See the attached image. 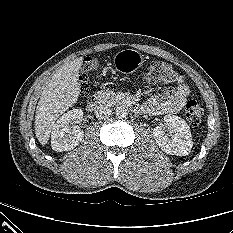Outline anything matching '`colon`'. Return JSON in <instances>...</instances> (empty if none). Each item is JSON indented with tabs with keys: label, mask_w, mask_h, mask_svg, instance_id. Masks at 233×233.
Here are the masks:
<instances>
[{
	"label": "colon",
	"mask_w": 233,
	"mask_h": 233,
	"mask_svg": "<svg viewBox=\"0 0 233 233\" xmlns=\"http://www.w3.org/2000/svg\"><path fill=\"white\" fill-rule=\"evenodd\" d=\"M143 80L150 84H174L181 83L183 77L171 65L161 61H154L144 71ZM79 82L81 93L86 94L90 82V64L88 60L83 65V69L79 75ZM202 114L203 110L196 100L190 99L186 102L185 116L191 124H198Z\"/></svg>",
	"instance_id": "1"
}]
</instances>
